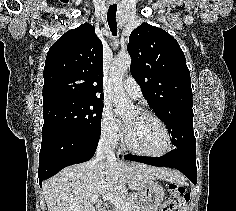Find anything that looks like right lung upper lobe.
<instances>
[{
	"label": "right lung upper lobe",
	"instance_id": "1",
	"mask_svg": "<svg viewBox=\"0 0 236 211\" xmlns=\"http://www.w3.org/2000/svg\"><path fill=\"white\" fill-rule=\"evenodd\" d=\"M103 46L85 23L62 35L49 49L44 67L43 105L65 98L103 99Z\"/></svg>",
	"mask_w": 236,
	"mask_h": 211
}]
</instances>
